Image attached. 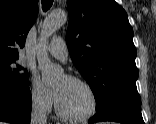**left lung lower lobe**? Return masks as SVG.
Masks as SVG:
<instances>
[{
    "label": "left lung lower lobe",
    "mask_w": 156,
    "mask_h": 124,
    "mask_svg": "<svg viewBox=\"0 0 156 124\" xmlns=\"http://www.w3.org/2000/svg\"><path fill=\"white\" fill-rule=\"evenodd\" d=\"M100 121H114L123 124H144L141 109L126 104H113L96 112L89 120V123Z\"/></svg>",
    "instance_id": "0a47b994"
}]
</instances>
